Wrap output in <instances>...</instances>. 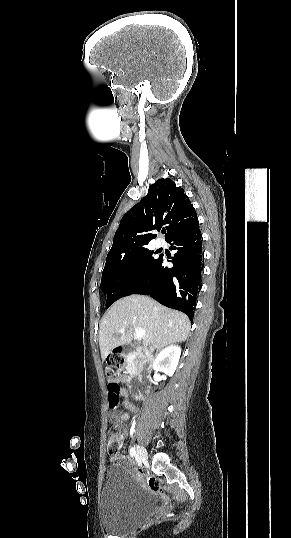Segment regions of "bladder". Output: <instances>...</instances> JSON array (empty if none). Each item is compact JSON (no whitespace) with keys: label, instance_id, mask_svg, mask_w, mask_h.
<instances>
[{"label":"bladder","instance_id":"1","mask_svg":"<svg viewBox=\"0 0 291 538\" xmlns=\"http://www.w3.org/2000/svg\"><path fill=\"white\" fill-rule=\"evenodd\" d=\"M155 507L126 467L114 465L106 469L100 496V521L106 531L131 532L151 516Z\"/></svg>","mask_w":291,"mask_h":538}]
</instances>
